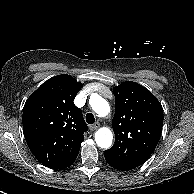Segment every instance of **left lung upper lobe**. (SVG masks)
Segmentation results:
<instances>
[{
	"label": "left lung upper lobe",
	"mask_w": 194,
	"mask_h": 194,
	"mask_svg": "<svg viewBox=\"0 0 194 194\" xmlns=\"http://www.w3.org/2000/svg\"><path fill=\"white\" fill-rule=\"evenodd\" d=\"M113 91L115 144L104 154L138 167L147 161L159 142L163 108L157 98L138 83L126 81Z\"/></svg>",
	"instance_id": "1"
}]
</instances>
